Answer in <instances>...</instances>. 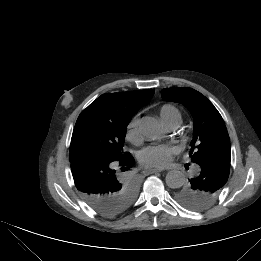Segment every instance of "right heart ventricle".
Here are the masks:
<instances>
[{
  "mask_svg": "<svg viewBox=\"0 0 261 261\" xmlns=\"http://www.w3.org/2000/svg\"><path fill=\"white\" fill-rule=\"evenodd\" d=\"M162 120L165 122L173 117H180V111L173 105L165 104L159 110Z\"/></svg>",
  "mask_w": 261,
  "mask_h": 261,
  "instance_id": "right-heart-ventricle-1",
  "label": "right heart ventricle"
}]
</instances>
